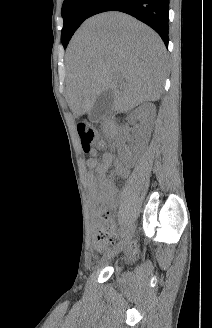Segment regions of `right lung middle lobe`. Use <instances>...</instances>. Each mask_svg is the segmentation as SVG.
<instances>
[{
	"instance_id": "obj_1",
	"label": "right lung middle lobe",
	"mask_w": 212,
	"mask_h": 328,
	"mask_svg": "<svg viewBox=\"0 0 212 328\" xmlns=\"http://www.w3.org/2000/svg\"><path fill=\"white\" fill-rule=\"evenodd\" d=\"M97 1L98 0H64L61 11L64 20L61 41L64 48H66L77 28L89 17V12Z\"/></svg>"
}]
</instances>
